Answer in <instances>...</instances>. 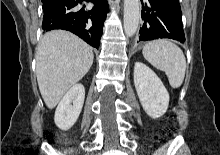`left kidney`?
Returning <instances> with one entry per match:
<instances>
[{"label": "left kidney", "instance_id": "left-kidney-1", "mask_svg": "<svg viewBox=\"0 0 220 155\" xmlns=\"http://www.w3.org/2000/svg\"><path fill=\"white\" fill-rule=\"evenodd\" d=\"M134 85L147 115L156 119L166 113L169 94L155 72L142 62L134 65Z\"/></svg>", "mask_w": 220, "mask_h": 155}]
</instances>
